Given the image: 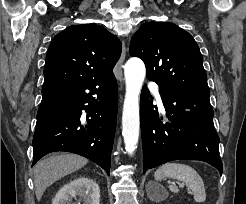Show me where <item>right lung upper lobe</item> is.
I'll use <instances>...</instances> for the list:
<instances>
[{"instance_id":"cb5924a9","label":"right lung upper lobe","mask_w":246,"mask_h":204,"mask_svg":"<svg viewBox=\"0 0 246 204\" xmlns=\"http://www.w3.org/2000/svg\"><path fill=\"white\" fill-rule=\"evenodd\" d=\"M121 42L95 24L73 25L52 40L44 67L43 88L113 75Z\"/></svg>"}]
</instances>
